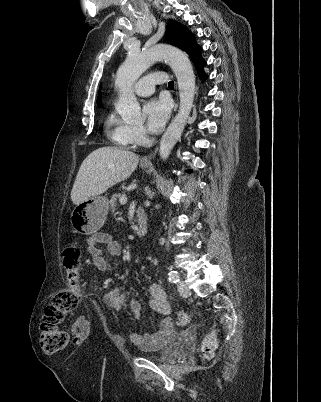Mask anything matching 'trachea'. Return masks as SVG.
<instances>
[{
  "label": "trachea",
  "mask_w": 321,
  "mask_h": 402,
  "mask_svg": "<svg viewBox=\"0 0 321 402\" xmlns=\"http://www.w3.org/2000/svg\"><path fill=\"white\" fill-rule=\"evenodd\" d=\"M168 86H169L170 88H173V87H174V81H170V82L168 83Z\"/></svg>",
  "instance_id": "obj_1"
}]
</instances>
